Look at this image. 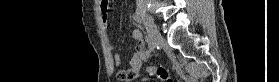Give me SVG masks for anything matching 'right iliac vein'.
Masks as SVG:
<instances>
[{
	"label": "right iliac vein",
	"mask_w": 279,
	"mask_h": 82,
	"mask_svg": "<svg viewBox=\"0 0 279 82\" xmlns=\"http://www.w3.org/2000/svg\"><path fill=\"white\" fill-rule=\"evenodd\" d=\"M145 26L147 31L148 47L150 51H152L156 46V42L159 38V33L150 17H145Z\"/></svg>",
	"instance_id": "right-iliac-vein-1"
}]
</instances>
